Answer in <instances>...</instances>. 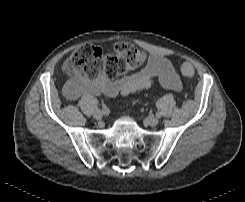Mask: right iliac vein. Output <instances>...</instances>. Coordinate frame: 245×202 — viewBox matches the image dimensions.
<instances>
[{
    "instance_id": "right-iliac-vein-1",
    "label": "right iliac vein",
    "mask_w": 245,
    "mask_h": 202,
    "mask_svg": "<svg viewBox=\"0 0 245 202\" xmlns=\"http://www.w3.org/2000/svg\"><path fill=\"white\" fill-rule=\"evenodd\" d=\"M106 115L103 110L96 109L93 113L94 118L98 119L101 116Z\"/></svg>"
}]
</instances>
